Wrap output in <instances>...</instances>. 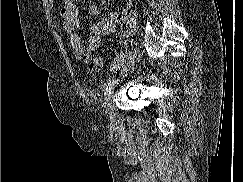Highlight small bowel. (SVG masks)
I'll list each match as a JSON object with an SVG mask.
<instances>
[{"label": "small bowel", "instance_id": "small-bowel-1", "mask_svg": "<svg viewBox=\"0 0 243 182\" xmlns=\"http://www.w3.org/2000/svg\"><path fill=\"white\" fill-rule=\"evenodd\" d=\"M61 17L63 19V30L68 36L69 43L74 57L83 63H88L92 53L99 48L101 38L110 34L118 21V14L112 12L107 18L91 26L92 34L89 36L86 45L83 44L78 29L81 25V13L77 0H62ZM116 2V0H108ZM91 16H97L100 13V7L97 4H91L88 8Z\"/></svg>", "mask_w": 243, "mask_h": 182}]
</instances>
